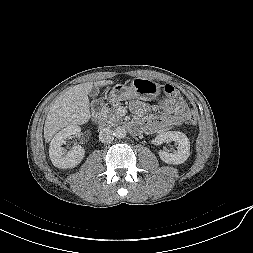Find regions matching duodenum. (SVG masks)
<instances>
[{"label": "duodenum", "instance_id": "1", "mask_svg": "<svg viewBox=\"0 0 253 253\" xmlns=\"http://www.w3.org/2000/svg\"><path fill=\"white\" fill-rule=\"evenodd\" d=\"M103 106L100 103H94L91 106L92 120L96 123L100 122Z\"/></svg>", "mask_w": 253, "mask_h": 253}]
</instances>
